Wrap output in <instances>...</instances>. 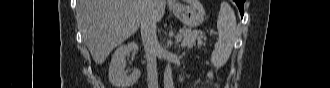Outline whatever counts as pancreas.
<instances>
[{"instance_id":"pancreas-1","label":"pancreas","mask_w":330,"mask_h":88,"mask_svg":"<svg viewBox=\"0 0 330 88\" xmlns=\"http://www.w3.org/2000/svg\"><path fill=\"white\" fill-rule=\"evenodd\" d=\"M183 37L181 46L183 48L191 49L193 47H201L206 40V36L202 31H192L187 28L180 30Z\"/></svg>"}]
</instances>
